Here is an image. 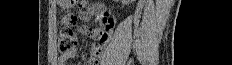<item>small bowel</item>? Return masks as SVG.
Returning <instances> with one entry per match:
<instances>
[{
  "instance_id": "c3829d8e",
  "label": "small bowel",
  "mask_w": 232,
  "mask_h": 65,
  "mask_svg": "<svg viewBox=\"0 0 232 65\" xmlns=\"http://www.w3.org/2000/svg\"><path fill=\"white\" fill-rule=\"evenodd\" d=\"M91 14L96 16V22L98 24V29L92 32L93 38L96 40L95 45L92 49V57L88 62V65H98L99 57L101 55V44L106 41L108 32L113 28V20L109 14L101 7H95L91 11ZM67 20H72L70 17L72 14L68 12L66 14ZM88 14H83L84 18H87ZM66 27H69V24H66ZM82 33H86V30H82ZM76 56V51L72 50L70 52L62 54L58 58V65H66L70 59H73Z\"/></svg>"
}]
</instances>
